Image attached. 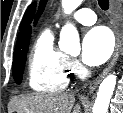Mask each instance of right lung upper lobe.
Instances as JSON below:
<instances>
[{
    "mask_svg": "<svg viewBox=\"0 0 123 113\" xmlns=\"http://www.w3.org/2000/svg\"><path fill=\"white\" fill-rule=\"evenodd\" d=\"M36 3H32L26 10L23 20L20 24V33L18 34L16 48L21 46L22 44L29 42L30 35H31V26L30 23L34 16ZM15 48V49H16Z\"/></svg>",
    "mask_w": 123,
    "mask_h": 113,
    "instance_id": "right-lung-upper-lobe-1",
    "label": "right lung upper lobe"
}]
</instances>
